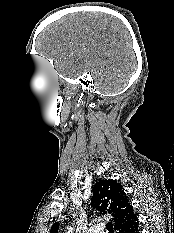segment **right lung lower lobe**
I'll use <instances>...</instances> for the list:
<instances>
[{"label": "right lung lower lobe", "mask_w": 174, "mask_h": 233, "mask_svg": "<svg viewBox=\"0 0 174 233\" xmlns=\"http://www.w3.org/2000/svg\"><path fill=\"white\" fill-rule=\"evenodd\" d=\"M124 233H140L139 228H138V224H136L134 227L126 230Z\"/></svg>", "instance_id": "1"}]
</instances>
